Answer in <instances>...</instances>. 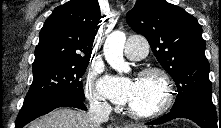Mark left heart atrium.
Here are the masks:
<instances>
[{
  "label": "left heart atrium",
  "mask_w": 221,
  "mask_h": 128,
  "mask_svg": "<svg viewBox=\"0 0 221 128\" xmlns=\"http://www.w3.org/2000/svg\"><path fill=\"white\" fill-rule=\"evenodd\" d=\"M139 85L137 78L109 79L102 87L103 92L118 104H129Z\"/></svg>",
  "instance_id": "obj_1"
}]
</instances>
